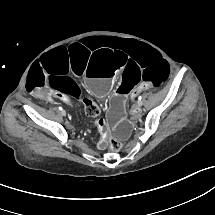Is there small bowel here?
Here are the masks:
<instances>
[{"label": "small bowel", "instance_id": "c3829d8e", "mask_svg": "<svg viewBox=\"0 0 215 215\" xmlns=\"http://www.w3.org/2000/svg\"><path fill=\"white\" fill-rule=\"evenodd\" d=\"M57 97L60 98V99H61L62 101H64V102H68V97L65 96V95H59V94H57ZM136 108H137V110H136ZM138 111H139V108H138L137 106H133L131 112H132L133 114H136Z\"/></svg>", "mask_w": 215, "mask_h": 215}]
</instances>
